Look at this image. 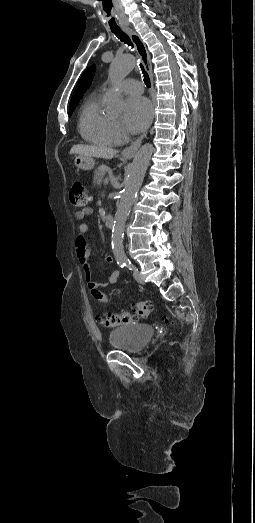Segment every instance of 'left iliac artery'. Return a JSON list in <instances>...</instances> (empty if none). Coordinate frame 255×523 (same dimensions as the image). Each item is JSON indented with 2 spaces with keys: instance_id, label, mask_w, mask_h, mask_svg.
Segmentation results:
<instances>
[{
  "instance_id": "1",
  "label": "left iliac artery",
  "mask_w": 255,
  "mask_h": 523,
  "mask_svg": "<svg viewBox=\"0 0 255 523\" xmlns=\"http://www.w3.org/2000/svg\"><path fill=\"white\" fill-rule=\"evenodd\" d=\"M125 266L128 267L129 270H135V266L131 263V261L128 259V260H125Z\"/></svg>"
}]
</instances>
